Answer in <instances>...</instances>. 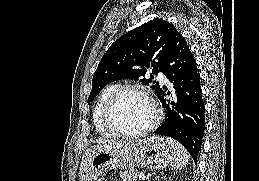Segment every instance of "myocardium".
I'll list each match as a JSON object with an SVG mask.
<instances>
[{"label": "myocardium", "instance_id": "1", "mask_svg": "<svg viewBox=\"0 0 259 181\" xmlns=\"http://www.w3.org/2000/svg\"><path fill=\"white\" fill-rule=\"evenodd\" d=\"M128 91H137L142 93L150 102L152 109H153V118L151 122L145 126L143 129L133 132H127L120 130L116 127L113 121V112L117 105L119 98ZM162 119V111L153 96L152 92L149 90L148 87L137 84V83H130L125 85L118 86L110 95L103 112V121L106 127L114 134L124 138H136L142 137L154 130Z\"/></svg>", "mask_w": 259, "mask_h": 181}]
</instances>
